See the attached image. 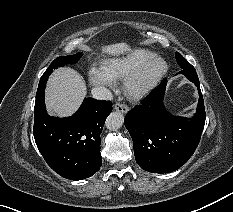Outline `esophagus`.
Returning a JSON list of instances; mask_svg holds the SVG:
<instances>
[{
	"instance_id": "1",
	"label": "esophagus",
	"mask_w": 233,
	"mask_h": 212,
	"mask_svg": "<svg viewBox=\"0 0 233 212\" xmlns=\"http://www.w3.org/2000/svg\"><path fill=\"white\" fill-rule=\"evenodd\" d=\"M114 109L118 112L126 114L129 111V107L126 104L116 103Z\"/></svg>"
}]
</instances>
